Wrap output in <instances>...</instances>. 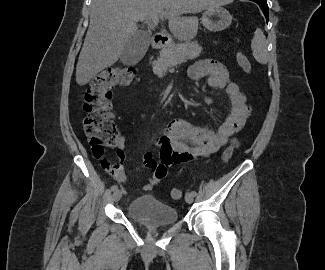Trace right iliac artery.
<instances>
[{
    "mask_svg": "<svg viewBox=\"0 0 325 270\" xmlns=\"http://www.w3.org/2000/svg\"><path fill=\"white\" fill-rule=\"evenodd\" d=\"M110 190L111 191H116V190H118V186L117 185H113V186H111Z\"/></svg>",
    "mask_w": 325,
    "mask_h": 270,
    "instance_id": "1",
    "label": "right iliac artery"
}]
</instances>
